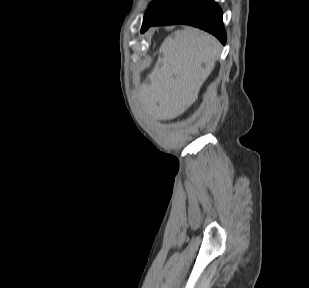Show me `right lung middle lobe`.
Masks as SVG:
<instances>
[{"mask_svg":"<svg viewBox=\"0 0 309 288\" xmlns=\"http://www.w3.org/2000/svg\"><path fill=\"white\" fill-rule=\"evenodd\" d=\"M183 0H154L144 16L142 28L150 26L167 11L178 6Z\"/></svg>","mask_w":309,"mask_h":288,"instance_id":"right-lung-middle-lobe-1","label":"right lung middle lobe"}]
</instances>
